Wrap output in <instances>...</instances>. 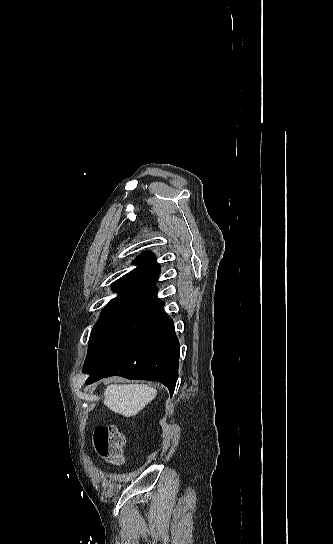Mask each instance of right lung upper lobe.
Wrapping results in <instances>:
<instances>
[{
	"label": "right lung upper lobe",
	"mask_w": 333,
	"mask_h": 544,
	"mask_svg": "<svg viewBox=\"0 0 333 544\" xmlns=\"http://www.w3.org/2000/svg\"><path fill=\"white\" fill-rule=\"evenodd\" d=\"M137 268L122 276L112 284L118 296L109 303L125 299H148L162 301L157 297L154 282L160 274V267L151 251H145L134 261ZM108 303V304H109Z\"/></svg>",
	"instance_id": "obj_1"
}]
</instances>
